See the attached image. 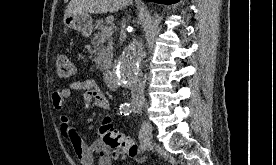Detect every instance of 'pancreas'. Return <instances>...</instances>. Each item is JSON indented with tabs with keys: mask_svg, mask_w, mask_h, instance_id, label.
Wrapping results in <instances>:
<instances>
[{
	"mask_svg": "<svg viewBox=\"0 0 276 165\" xmlns=\"http://www.w3.org/2000/svg\"><path fill=\"white\" fill-rule=\"evenodd\" d=\"M107 42V45H104ZM93 50L91 54L94 55L93 61L96 63V68L100 71H104L109 68L113 58V42L112 38L102 35L98 32L94 34V38L91 40Z\"/></svg>",
	"mask_w": 276,
	"mask_h": 165,
	"instance_id": "cf45deb5",
	"label": "pancreas"
}]
</instances>
